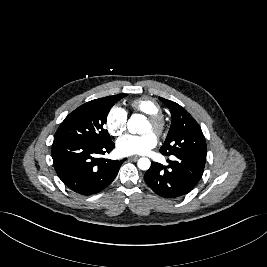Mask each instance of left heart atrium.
I'll use <instances>...</instances> for the list:
<instances>
[{
	"label": "left heart atrium",
	"instance_id": "obj_1",
	"mask_svg": "<svg viewBox=\"0 0 267 267\" xmlns=\"http://www.w3.org/2000/svg\"><path fill=\"white\" fill-rule=\"evenodd\" d=\"M157 145V139L151 132L143 135L127 134L118 139L116 148L124 156L147 154Z\"/></svg>",
	"mask_w": 267,
	"mask_h": 267
}]
</instances>
